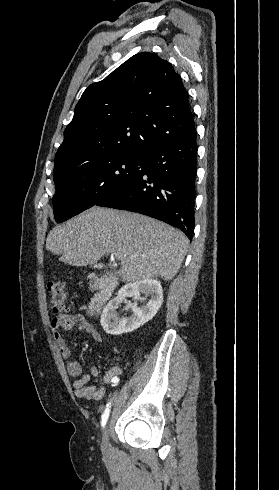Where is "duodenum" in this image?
Masks as SVG:
<instances>
[{
  "mask_svg": "<svg viewBox=\"0 0 279 490\" xmlns=\"http://www.w3.org/2000/svg\"><path fill=\"white\" fill-rule=\"evenodd\" d=\"M117 284V279L111 275L104 276L100 279L98 291L88 305V312L91 315L97 314L102 310L111 298Z\"/></svg>",
  "mask_w": 279,
  "mask_h": 490,
  "instance_id": "410a0bca",
  "label": "duodenum"
}]
</instances>
